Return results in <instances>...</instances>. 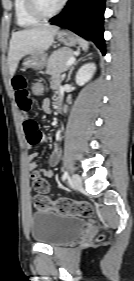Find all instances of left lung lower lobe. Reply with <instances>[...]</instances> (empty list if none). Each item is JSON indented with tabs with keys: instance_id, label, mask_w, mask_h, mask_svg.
<instances>
[{
	"instance_id": "0a47b994",
	"label": "left lung lower lobe",
	"mask_w": 134,
	"mask_h": 281,
	"mask_svg": "<svg viewBox=\"0 0 134 281\" xmlns=\"http://www.w3.org/2000/svg\"><path fill=\"white\" fill-rule=\"evenodd\" d=\"M105 0H69L65 10L49 20L81 37H88L105 54L103 19Z\"/></svg>"
}]
</instances>
